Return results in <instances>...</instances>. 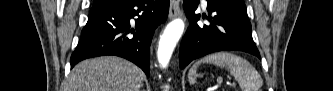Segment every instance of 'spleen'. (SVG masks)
I'll return each mask as SVG.
<instances>
[{
  "label": "spleen",
  "mask_w": 333,
  "mask_h": 91,
  "mask_svg": "<svg viewBox=\"0 0 333 91\" xmlns=\"http://www.w3.org/2000/svg\"><path fill=\"white\" fill-rule=\"evenodd\" d=\"M204 63L228 69L242 91H259L263 85L257 70L247 60L230 52L213 53L194 63L188 73L191 84L196 82L197 68Z\"/></svg>",
  "instance_id": "spleen-1"
}]
</instances>
